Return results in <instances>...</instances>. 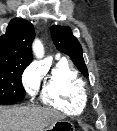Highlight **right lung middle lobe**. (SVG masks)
<instances>
[{"mask_svg":"<svg viewBox=\"0 0 117 131\" xmlns=\"http://www.w3.org/2000/svg\"><path fill=\"white\" fill-rule=\"evenodd\" d=\"M26 66H0V104L20 102L25 97L21 75Z\"/></svg>","mask_w":117,"mask_h":131,"instance_id":"obj_1","label":"right lung middle lobe"}]
</instances>
